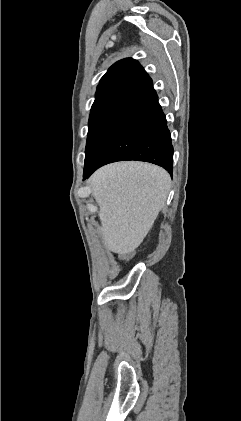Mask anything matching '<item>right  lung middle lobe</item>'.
<instances>
[{
	"label": "right lung middle lobe",
	"instance_id": "right-lung-middle-lobe-1",
	"mask_svg": "<svg viewBox=\"0 0 241 421\" xmlns=\"http://www.w3.org/2000/svg\"><path fill=\"white\" fill-rule=\"evenodd\" d=\"M131 103L113 105L90 113L84 169L92 167L126 118Z\"/></svg>",
	"mask_w": 241,
	"mask_h": 421
}]
</instances>
